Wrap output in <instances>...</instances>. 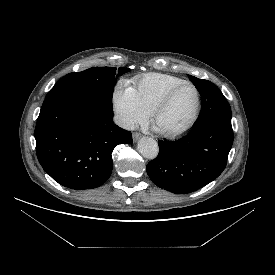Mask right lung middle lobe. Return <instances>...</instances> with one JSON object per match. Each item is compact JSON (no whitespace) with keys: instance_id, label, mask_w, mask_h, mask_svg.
<instances>
[{"instance_id":"right-lung-middle-lobe-1","label":"right lung middle lobe","mask_w":275,"mask_h":275,"mask_svg":"<svg viewBox=\"0 0 275 275\" xmlns=\"http://www.w3.org/2000/svg\"><path fill=\"white\" fill-rule=\"evenodd\" d=\"M130 71L129 68L94 67L73 72L61 78L49 91L45 100L66 96H88L112 107L116 77Z\"/></svg>"}]
</instances>
